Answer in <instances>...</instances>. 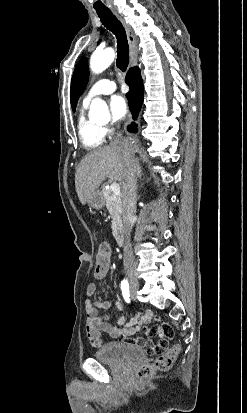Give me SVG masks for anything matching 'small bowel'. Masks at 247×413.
Masks as SVG:
<instances>
[{
	"label": "small bowel",
	"mask_w": 247,
	"mask_h": 413,
	"mask_svg": "<svg viewBox=\"0 0 247 413\" xmlns=\"http://www.w3.org/2000/svg\"><path fill=\"white\" fill-rule=\"evenodd\" d=\"M97 264V262H96ZM92 283H89L86 288V296L91 297L99 288L104 291L103 286L98 283L103 281L101 274H95L93 276ZM122 313L118 318L116 324H112L109 321V314H101V310L110 309L112 306ZM124 306L121 302L112 303L108 300H96L91 301L89 298L85 301V330L90 343L93 346H100L101 333L105 332L113 339H127L128 341H117V348H133V349H146L148 355H165L167 349L165 346H153L151 340H143L142 335L135 336L134 334L146 329L145 336L152 338L154 331H166L168 338L175 336V331L171 329V324L162 322L161 316H155L152 311L144 310L141 313L133 316L128 322L123 314ZM154 317V322L149 323Z\"/></svg>",
	"instance_id": "c3829d8e"
}]
</instances>
